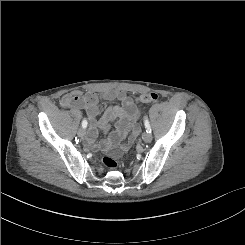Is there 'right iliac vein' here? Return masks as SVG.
<instances>
[{
  "instance_id": "1",
  "label": "right iliac vein",
  "mask_w": 245,
  "mask_h": 245,
  "mask_svg": "<svg viewBox=\"0 0 245 245\" xmlns=\"http://www.w3.org/2000/svg\"><path fill=\"white\" fill-rule=\"evenodd\" d=\"M78 135H79V137H84V135H85V128H80L79 130H78Z\"/></svg>"
}]
</instances>
